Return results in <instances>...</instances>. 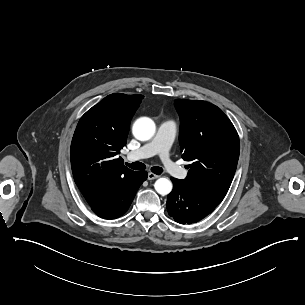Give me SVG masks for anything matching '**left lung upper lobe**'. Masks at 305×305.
<instances>
[{"instance_id": "1", "label": "left lung upper lobe", "mask_w": 305, "mask_h": 305, "mask_svg": "<svg viewBox=\"0 0 305 305\" xmlns=\"http://www.w3.org/2000/svg\"><path fill=\"white\" fill-rule=\"evenodd\" d=\"M180 150L190 161L184 182L189 188L225 197L240 152L235 127L217 106L200 100H176Z\"/></svg>"}]
</instances>
